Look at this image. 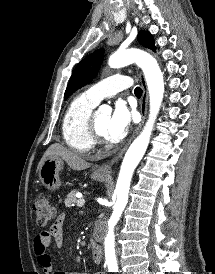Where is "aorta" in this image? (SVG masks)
Here are the masks:
<instances>
[{
  "instance_id": "1",
  "label": "aorta",
  "mask_w": 215,
  "mask_h": 274,
  "mask_svg": "<svg viewBox=\"0 0 215 274\" xmlns=\"http://www.w3.org/2000/svg\"><path fill=\"white\" fill-rule=\"evenodd\" d=\"M108 63L112 68H120L131 63H136L144 72L150 97L149 119L142 132L128 148L120 168L115 188L117 200L109 220L110 230L105 238L106 264L110 272H117L118 266L115 255V236L113 227L121 217V214L127 205L133 172L148 147L151 132L163 100L164 81L157 61L150 54L139 49L117 51L110 56ZM99 110L109 111L110 108L108 106H101Z\"/></svg>"
}]
</instances>
